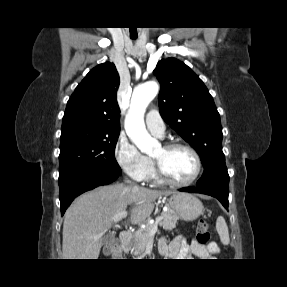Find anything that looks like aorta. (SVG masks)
I'll return each mask as SVG.
<instances>
[{
	"mask_svg": "<svg viewBox=\"0 0 287 287\" xmlns=\"http://www.w3.org/2000/svg\"><path fill=\"white\" fill-rule=\"evenodd\" d=\"M158 91L159 86L156 82H148L136 87L125 118V130L128 137L143 153L151 152L158 145V141L147 132L144 123L146 108Z\"/></svg>",
	"mask_w": 287,
	"mask_h": 287,
	"instance_id": "1",
	"label": "aorta"
}]
</instances>
